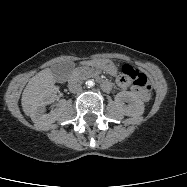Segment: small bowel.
I'll return each mask as SVG.
<instances>
[{
	"instance_id": "c3829d8e",
	"label": "small bowel",
	"mask_w": 187,
	"mask_h": 187,
	"mask_svg": "<svg viewBox=\"0 0 187 187\" xmlns=\"http://www.w3.org/2000/svg\"><path fill=\"white\" fill-rule=\"evenodd\" d=\"M117 85H118L119 87L125 89V88H128V87L131 86V81H130L129 79H127V78L119 77V78L117 79ZM131 90H132L135 94H137V95H139V96L141 97L140 92H139L134 86H131Z\"/></svg>"
}]
</instances>
